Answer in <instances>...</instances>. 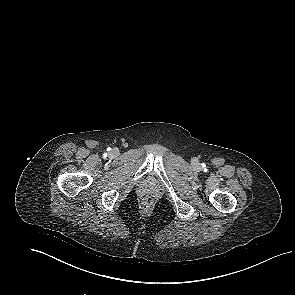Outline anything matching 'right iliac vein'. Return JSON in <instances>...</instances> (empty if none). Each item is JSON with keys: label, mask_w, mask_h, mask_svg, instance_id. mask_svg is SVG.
Returning a JSON list of instances; mask_svg holds the SVG:
<instances>
[{"label": "right iliac vein", "mask_w": 295, "mask_h": 295, "mask_svg": "<svg viewBox=\"0 0 295 295\" xmlns=\"http://www.w3.org/2000/svg\"><path fill=\"white\" fill-rule=\"evenodd\" d=\"M110 155H112V156L115 155V151H112V152L110 153Z\"/></svg>", "instance_id": "right-iliac-vein-1"}]
</instances>
